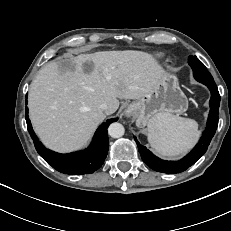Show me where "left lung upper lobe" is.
<instances>
[{"mask_svg":"<svg viewBox=\"0 0 231 231\" xmlns=\"http://www.w3.org/2000/svg\"><path fill=\"white\" fill-rule=\"evenodd\" d=\"M188 64L191 66L197 81L205 84H215L211 74L196 56H189Z\"/></svg>","mask_w":231,"mask_h":231,"instance_id":"obj_1","label":"left lung upper lobe"}]
</instances>
